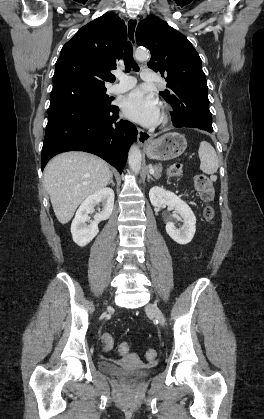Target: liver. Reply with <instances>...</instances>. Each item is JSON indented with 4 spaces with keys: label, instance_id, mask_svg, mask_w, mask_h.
<instances>
[{
    "label": "liver",
    "instance_id": "liver-1",
    "mask_svg": "<svg viewBox=\"0 0 264 419\" xmlns=\"http://www.w3.org/2000/svg\"><path fill=\"white\" fill-rule=\"evenodd\" d=\"M111 176L104 160L86 152H65L50 160L44 185L58 221L68 223L79 204L106 187Z\"/></svg>",
    "mask_w": 264,
    "mask_h": 419
}]
</instances>
